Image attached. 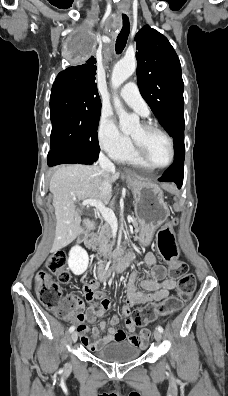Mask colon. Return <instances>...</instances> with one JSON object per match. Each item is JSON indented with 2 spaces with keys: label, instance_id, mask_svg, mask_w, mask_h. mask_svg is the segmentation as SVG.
Instances as JSON below:
<instances>
[{
  "label": "colon",
  "instance_id": "colon-1",
  "mask_svg": "<svg viewBox=\"0 0 228 396\" xmlns=\"http://www.w3.org/2000/svg\"><path fill=\"white\" fill-rule=\"evenodd\" d=\"M176 219H170L159 230L157 247L161 256L169 264V275L178 280L177 295L167 298L161 304H148L132 313V322L136 326H144L160 315L175 313L190 298L196 288V277L188 272V265L177 259L178 251L175 243L174 227ZM48 270L57 277L60 283H68L71 279L67 266V257L63 251L52 254L47 262ZM35 290L40 303L52 311L57 317L66 319L81 307L79 301L71 295H64L60 285L45 271H39L35 277ZM94 304L92 309H97Z\"/></svg>",
  "mask_w": 228,
  "mask_h": 396
}]
</instances>
